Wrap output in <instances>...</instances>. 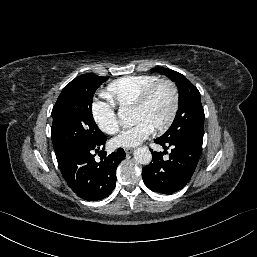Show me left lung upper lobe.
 Listing matches in <instances>:
<instances>
[{"instance_id": "obj_1", "label": "left lung upper lobe", "mask_w": 257, "mask_h": 257, "mask_svg": "<svg viewBox=\"0 0 257 257\" xmlns=\"http://www.w3.org/2000/svg\"><path fill=\"white\" fill-rule=\"evenodd\" d=\"M152 70L162 73L176 82L179 90V109L162 140L196 139L203 141L204 110L198 89L184 75L163 67Z\"/></svg>"}]
</instances>
